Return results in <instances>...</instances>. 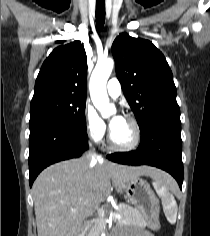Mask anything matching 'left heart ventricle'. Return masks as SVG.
<instances>
[{
    "instance_id": "left-heart-ventricle-1",
    "label": "left heart ventricle",
    "mask_w": 210,
    "mask_h": 236,
    "mask_svg": "<svg viewBox=\"0 0 210 236\" xmlns=\"http://www.w3.org/2000/svg\"><path fill=\"white\" fill-rule=\"evenodd\" d=\"M112 139L118 145H127L132 142L134 137V130L126 119H123L122 122L113 130H111Z\"/></svg>"
}]
</instances>
